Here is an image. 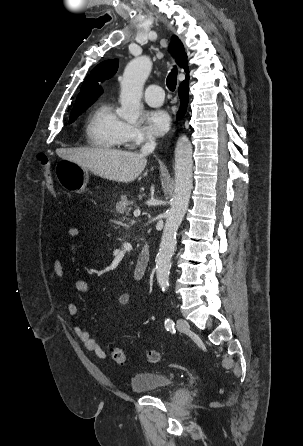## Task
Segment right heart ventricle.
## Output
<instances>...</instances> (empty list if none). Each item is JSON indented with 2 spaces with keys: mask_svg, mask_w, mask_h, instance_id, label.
Wrapping results in <instances>:
<instances>
[{
  "mask_svg": "<svg viewBox=\"0 0 303 446\" xmlns=\"http://www.w3.org/2000/svg\"><path fill=\"white\" fill-rule=\"evenodd\" d=\"M124 122L115 113L109 101L100 103L88 116L85 138L88 145L101 149H115L124 144Z\"/></svg>",
  "mask_w": 303,
  "mask_h": 446,
  "instance_id": "right-heart-ventricle-1",
  "label": "right heart ventricle"
}]
</instances>
